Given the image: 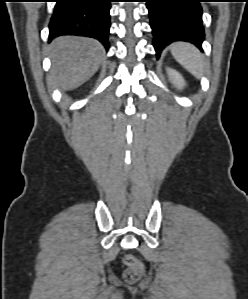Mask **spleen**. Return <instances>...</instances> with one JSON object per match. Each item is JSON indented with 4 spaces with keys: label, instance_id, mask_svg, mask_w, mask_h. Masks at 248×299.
Instances as JSON below:
<instances>
[{
    "label": "spleen",
    "instance_id": "obj_1",
    "mask_svg": "<svg viewBox=\"0 0 248 299\" xmlns=\"http://www.w3.org/2000/svg\"><path fill=\"white\" fill-rule=\"evenodd\" d=\"M173 57L192 75L200 78L204 72V62L200 51L190 43L177 42L172 44Z\"/></svg>",
    "mask_w": 248,
    "mask_h": 299
}]
</instances>
